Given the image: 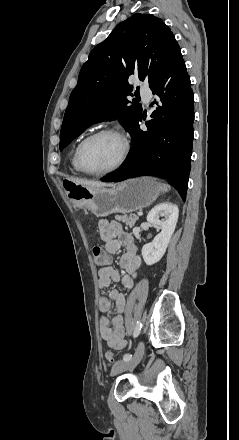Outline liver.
Here are the masks:
<instances>
[{
    "label": "liver",
    "mask_w": 239,
    "mask_h": 440,
    "mask_svg": "<svg viewBox=\"0 0 239 440\" xmlns=\"http://www.w3.org/2000/svg\"><path fill=\"white\" fill-rule=\"evenodd\" d=\"M70 182L74 184H81L84 188H90V190H96V188H104V186H109V188H114L115 184H102V182H88V180H79V178H71Z\"/></svg>",
    "instance_id": "liver-1"
}]
</instances>
